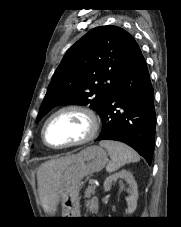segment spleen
<instances>
[{
	"label": "spleen",
	"mask_w": 181,
	"mask_h": 227,
	"mask_svg": "<svg viewBox=\"0 0 181 227\" xmlns=\"http://www.w3.org/2000/svg\"><path fill=\"white\" fill-rule=\"evenodd\" d=\"M100 146L106 148L111 161L106 166L107 172H114L127 163L138 162L140 156L132 148L118 141L104 140Z\"/></svg>",
	"instance_id": "spleen-1"
}]
</instances>
